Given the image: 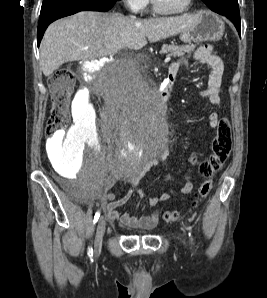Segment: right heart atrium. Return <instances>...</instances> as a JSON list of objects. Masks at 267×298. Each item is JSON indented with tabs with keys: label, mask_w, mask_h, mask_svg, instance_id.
<instances>
[{
	"label": "right heart atrium",
	"mask_w": 267,
	"mask_h": 298,
	"mask_svg": "<svg viewBox=\"0 0 267 298\" xmlns=\"http://www.w3.org/2000/svg\"><path fill=\"white\" fill-rule=\"evenodd\" d=\"M124 2L133 12L139 13L147 7L149 0H124Z\"/></svg>",
	"instance_id": "d8ad5b80"
}]
</instances>
